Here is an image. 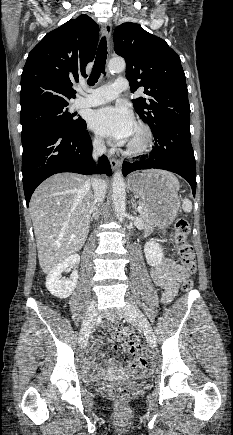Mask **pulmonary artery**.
Segmentation results:
<instances>
[{"instance_id":"e3ab8cb5","label":"pulmonary artery","mask_w":233,"mask_h":435,"mask_svg":"<svg viewBox=\"0 0 233 435\" xmlns=\"http://www.w3.org/2000/svg\"><path fill=\"white\" fill-rule=\"evenodd\" d=\"M127 80L125 78H117L113 84L103 85L91 92L89 95L78 96L73 104L74 108H84L104 104L108 101L116 99L119 94L127 89Z\"/></svg>"}]
</instances>
